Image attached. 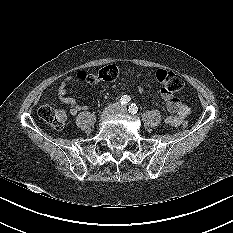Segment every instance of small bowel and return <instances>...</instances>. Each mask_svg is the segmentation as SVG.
<instances>
[{
    "label": "small bowel",
    "instance_id": "c3829d8e",
    "mask_svg": "<svg viewBox=\"0 0 233 233\" xmlns=\"http://www.w3.org/2000/svg\"><path fill=\"white\" fill-rule=\"evenodd\" d=\"M72 81V77L68 76L58 88V97L66 105L69 106L71 115H76L82 110H87L88 106L78 103L74 98L67 95V84ZM161 97L166 103V107L172 115L165 119V123L169 126L178 127L182 125L186 118L190 115L191 109L184 104L179 98L161 90Z\"/></svg>",
    "mask_w": 233,
    "mask_h": 233
}]
</instances>
